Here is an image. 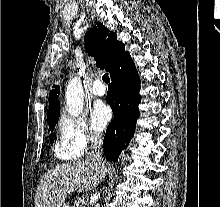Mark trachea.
I'll return each instance as SVG.
<instances>
[{
  "mask_svg": "<svg viewBox=\"0 0 220 207\" xmlns=\"http://www.w3.org/2000/svg\"><path fill=\"white\" fill-rule=\"evenodd\" d=\"M102 80H103L104 82H106V83H109V82H110V79H109L108 74H104V75L102 76Z\"/></svg>",
  "mask_w": 220,
  "mask_h": 207,
  "instance_id": "1",
  "label": "trachea"
}]
</instances>
